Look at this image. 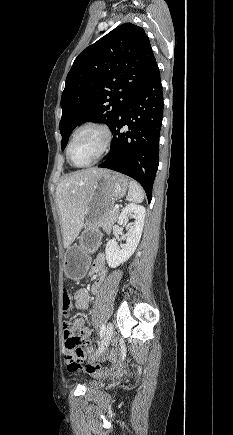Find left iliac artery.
Returning <instances> with one entry per match:
<instances>
[{
    "mask_svg": "<svg viewBox=\"0 0 233 435\" xmlns=\"http://www.w3.org/2000/svg\"><path fill=\"white\" fill-rule=\"evenodd\" d=\"M105 332H106V327L104 324H102L100 327V336L103 337L105 335Z\"/></svg>",
    "mask_w": 233,
    "mask_h": 435,
    "instance_id": "left-iliac-artery-1",
    "label": "left iliac artery"
}]
</instances>
